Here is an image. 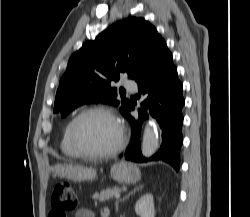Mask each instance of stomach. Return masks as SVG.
Returning <instances> with one entry per match:
<instances>
[{"instance_id": "obj_1", "label": "stomach", "mask_w": 250, "mask_h": 217, "mask_svg": "<svg viewBox=\"0 0 250 217\" xmlns=\"http://www.w3.org/2000/svg\"><path fill=\"white\" fill-rule=\"evenodd\" d=\"M53 175L59 178L72 179L75 181L93 180L96 171L73 164H57L52 168ZM112 178L120 183L131 184L140 179V170L137 166L129 162H118L111 167Z\"/></svg>"}]
</instances>
